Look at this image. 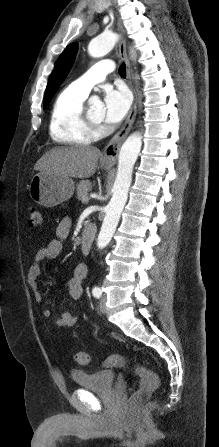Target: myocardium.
Segmentation results:
<instances>
[{"label": "myocardium", "instance_id": "f54148a6", "mask_svg": "<svg viewBox=\"0 0 219 447\" xmlns=\"http://www.w3.org/2000/svg\"><path fill=\"white\" fill-rule=\"evenodd\" d=\"M82 119L84 124L92 130L98 132L102 129V122L94 120L84 105L82 107Z\"/></svg>", "mask_w": 219, "mask_h": 447}]
</instances>
